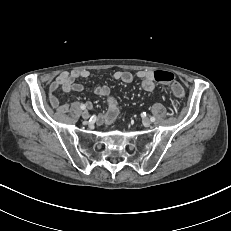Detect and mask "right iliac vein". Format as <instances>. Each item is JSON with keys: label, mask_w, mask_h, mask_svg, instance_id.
Masks as SVG:
<instances>
[{"label": "right iliac vein", "mask_w": 231, "mask_h": 231, "mask_svg": "<svg viewBox=\"0 0 231 231\" xmlns=\"http://www.w3.org/2000/svg\"><path fill=\"white\" fill-rule=\"evenodd\" d=\"M89 117H90V115H89V113H88L87 110H85V111L82 112V118L83 119H89Z\"/></svg>", "instance_id": "63e3f726"}]
</instances>
